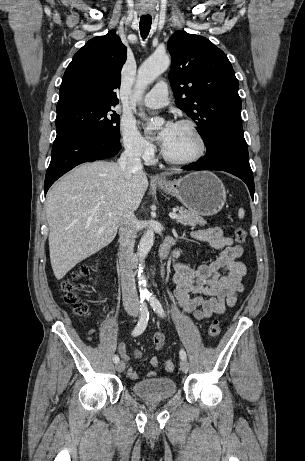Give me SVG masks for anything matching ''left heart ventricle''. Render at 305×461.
<instances>
[{
    "label": "left heart ventricle",
    "mask_w": 305,
    "mask_h": 461,
    "mask_svg": "<svg viewBox=\"0 0 305 461\" xmlns=\"http://www.w3.org/2000/svg\"><path fill=\"white\" fill-rule=\"evenodd\" d=\"M198 143L186 127L176 125L174 135L164 151L173 158H187L195 154Z\"/></svg>",
    "instance_id": "1"
}]
</instances>
